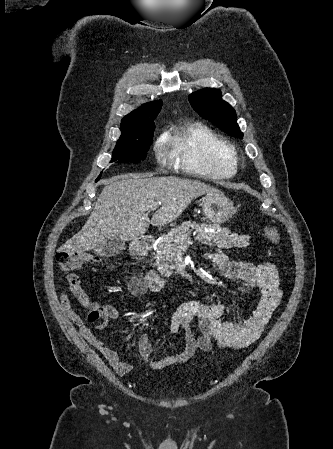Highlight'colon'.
Listing matches in <instances>:
<instances>
[{"instance_id": "1", "label": "colon", "mask_w": 333, "mask_h": 449, "mask_svg": "<svg viewBox=\"0 0 333 449\" xmlns=\"http://www.w3.org/2000/svg\"><path fill=\"white\" fill-rule=\"evenodd\" d=\"M264 235L268 238L270 242L273 244H279L281 242V236L279 233L272 227H264L262 228ZM98 258L86 253H77V252H69V251H59L55 256V261L57 265L63 271H72L78 269L82 265L90 262L97 261ZM104 314L103 307H95L89 311V320L94 322L98 320Z\"/></svg>"}]
</instances>
